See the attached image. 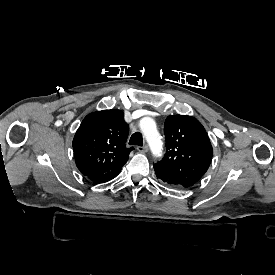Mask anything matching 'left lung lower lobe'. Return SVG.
Listing matches in <instances>:
<instances>
[{
    "mask_svg": "<svg viewBox=\"0 0 275 275\" xmlns=\"http://www.w3.org/2000/svg\"><path fill=\"white\" fill-rule=\"evenodd\" d=\"M154 169H155V173H156L157 178H159L160 180H162L167 185H169L171 187H174V188H178V189L183 188L179 184V182L171 174H169L168 172H166L164 169H162L157 164L154 165Z\"/></svg>",
    "mask_w": 275,
    "mask_h": 275,
    "instance_id": "1",
    "label": "left lung lower lobe"
}]
</instances>
